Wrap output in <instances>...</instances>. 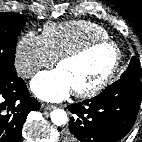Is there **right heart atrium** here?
Wrapping results in <instances>:
<instances>
[{
    "instance_id": "1",
    "label": "right heart atrium",
    "mask_w": 142,
    "mask_h": 142,
    "mask_svg": "<svg viewBox=\"0 0 142 142\" xmlns=\"http://www.w3.org/2000/svg\"><path fill=\"white\" fill-rule=\"evenodd\" d=\"M14 63L17 73L27 79L39 69L53 65L54 59L47 50L42 37L31 31L18 40Z\"/></svg>"
}]
</instances>
